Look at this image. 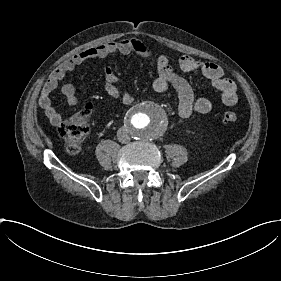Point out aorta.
Instances as JSON below:
<instances>
[{"mask_svg": "<svg viewBox=\"0 0 281 281\" xmlns=\"http://www.w3.org/2000/svg\"><path fill=\"white\" fill-rule=\"evenodd\" d=\"M167 126L168 116L165 110L154 102H140L127 115V128L135 139H155L166 131Z\"/></svg>", "mask_w": 281, "mask_h": 281, "instance_id": "obj_1", "label": "aorta"}]
</instances>
